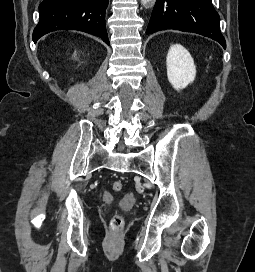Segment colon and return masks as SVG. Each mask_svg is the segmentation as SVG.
Segmentation results:
<instances>
[{"label": "colon", "mask_w": 255, "mask_h": 272, "mask_svg": "<svg viewBox=\"0 0 255 272\" xmlns=\"http://www.w3.org/2000/svg\"><path fill=\"white\" fill-rule=\"evenodd\" d=\"M112 188L116 192L121 191V189L123 188V184L121 181H115L112 185ZM123 224H124V220H123L122 216L119 214L113 215V217L110 220V226L114 230H118V229L122 228Z\"/></svg>", "instance_id": "1"}]
</instances>
